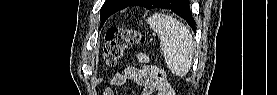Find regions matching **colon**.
<instances>
[{
  "label": "colon",
  "mask_w": 277,
  "mask_h": 95,
  "mask_svg": "<svg viewBox=\"0 0 277 95\" xmlns=\"http://www.w3.org/2000/svg\"><path fill=\"white\" fill-rule=\"evenodd\" d=\"M104 38L103 58L107 67H114L123 57L126 49L144 41L142 35L132 28H109ZM156 74L163 75V72L158 70ZM162 80H164L163 77Z\"/></svg>",
  "instance_id": "colon-1"
}]
</instances>
